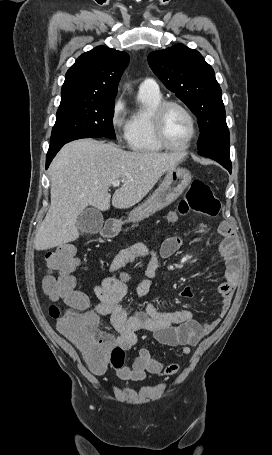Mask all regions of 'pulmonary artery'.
<instances>
[{
    "instance_id": "pulmonary-artery-1",
    "label": "pulmonary artery",
    "mask_w": 272,
    "mask_h": 455,
    "mask_svg": "<svg viewBox=\"0 0 272 455\" xmlns=\"http://www.w3.org/2000/svg\"><path fill=\"white\" fill-rule=\"evenodd\" d=\"M139 91L141 92H150V93H158L159 87L155 80L151 78H147L141 82L139 85Z\"/></svg>"
}]
</instances>
